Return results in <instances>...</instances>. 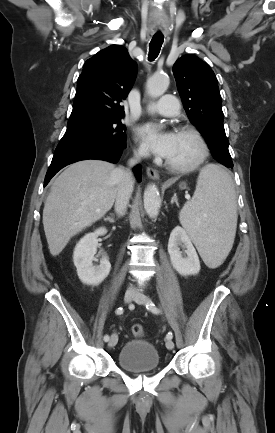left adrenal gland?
<instances>
[{
	"label": "left adrenal gland",
	"mask_w": 275,
	"mask_h": 433,
	"mask_svg": "<svg viewBox=\"0 0 275 433\" xmlns=\"http://www.w3.org/2000/svg\"><path fill=\"white\" fill-rule=\"evenodd\" d=\"M173 203H176L178 205V199H177L176 193L174 194V196L171 199V204H173Z\"/></svg>",
	"instance_id": "left-adrenal-gland-1"
}]
</instances>
